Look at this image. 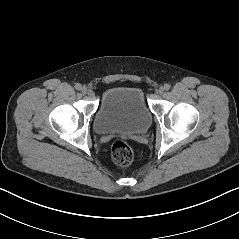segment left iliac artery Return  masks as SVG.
<instances>
[{"label": "left iliac artery", "mask_w": 239, "mask_h": 239, "mask_svg": "<svg viewBox=\"0 0 239 239\" xmlns=\"http://www.w3.org/2000/svg\"><path fill=\"white\" fill-rule=\"evenodd\" d=\"M170 87H171V86H170L169 84H165V85H164V89H165V90H169Z\"/></svg>", "instance_id": "44dca946"}]
</instances>
